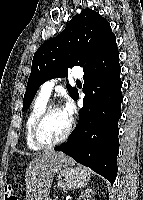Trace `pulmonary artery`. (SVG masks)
I'll use <instances>...</instances> for the list:
<instances>
[{"instance_id":"obj_1","label":"pulmonary artery","mask_w":143,"mask_h":200,"mask_svg":"<svg viewBox=\"0 0 143 200\" xmlns=\"http://www.w3.org/2000/svg\"><path fill=\"white\" fill-rule=\"evenodd\" d=\"M71 77L75 79H80L83 77V71L81 68H74L71 71ZM57 81L56 80H48L45 83L42 84L40 88V94L46 98H49L52 94V91L54 87L56 86Z\"/></svg>"}]
</instances>
